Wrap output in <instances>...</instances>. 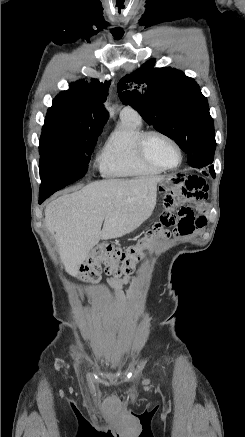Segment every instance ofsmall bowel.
<instances>
[{
	"label": "small bowel",
	"mask_w": 245,
	"mask_h": 437,
	"mask_svg": "<svg viewBox=\"0 0 245 437\" xmlns=\"http://www.w3.org/2000/svg\"><path fill=\"white\" fill-rule=\"evenodd\" d=\"M208 175L203 171H192L185 183H179L177 189L188 197H194L197 200L206 196L208 187L204 180ZM166 208H162L158 221L163 224L164 229H175L180 235H189L196 230H201L206 225L205 206L198 205L197 212L193 211L192 203H181L178 215H172L175 202L173 199H166L164 202ZM131 276H125L122 279L109 278L107 283L112 288H118L123 284L131 281Z\"/></svg>",
	"instance_id": "1"
}]
</instances>
